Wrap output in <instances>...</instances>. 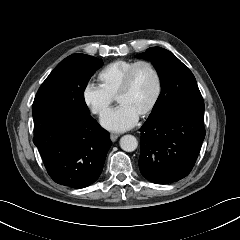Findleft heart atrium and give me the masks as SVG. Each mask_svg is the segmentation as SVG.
Returning <instances> with one entry per match:
<instances>
[{
    "instance_id": "1",
    "label": "left heart atrium",
    "mask_w": 240,
    "mask_h": 240,
    "mask_svg": "<svg viewBox=\"0 0 240 240\" xmlns=\"http://www.w3.org/2000/svg\"><path fill=\"white\" fill-rule=\"evenodd\" d=\"M138 115L127 106L120 105L108 112L101 120L102 126L113 132H122L132 128L138 121Z\"/></svg>"
}]
</instances>
